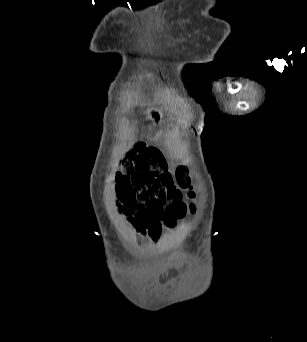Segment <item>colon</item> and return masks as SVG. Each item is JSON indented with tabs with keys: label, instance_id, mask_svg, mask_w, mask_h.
Masks as SVG:
<instances>
[{
	"label": "colon",
	"instance_id": "obj_1",
	"mask_svg": "<svg viewBox=\"0 0 307 342\" xmlns=\"http://www.w3.org/2000/svg\"><path fill=\"white\" fill-rule=\"evenodd\" d=\"M125 170L118 192L127 207H146L168 226L191 209L182 196V191H186L189 198L195 196L187 167L178 165L174 178L157 148L138 146L128 154Z\"/></svg>",
	"mask_w": 307,
	"mask_h": 342
}]
</instances>
